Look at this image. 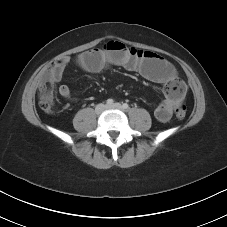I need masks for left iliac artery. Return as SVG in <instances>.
Instances as JSON below:
<instances>
[{
	"mask_svg": "<svg viewBox=\"0 0 227 227\" xmlns=\"http://www.w3.org/2000/svg\"><path fill=\"white\" fill-rule=\"evenodd\" d=\"M123 108H124V109H128V108H129V105H128L127 103H124V104H123Z\"/></svg>",
	"mask_w": 227,
	"mask_h": 227,
	"instance_id": "obj_1",
	"label": "left iliac artery"
}]
</instances>
